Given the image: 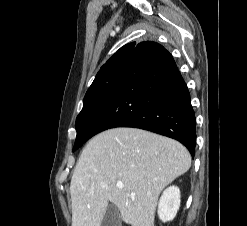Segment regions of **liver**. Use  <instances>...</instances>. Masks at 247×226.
I'll list each match as a JSON object with an SVG mask.
<instances>
[{
    "label": "liver",
    "mask_w": 247,
    "mask_h": 226,
    "mask_svg": "<svg viewBox=\"0 0 247 226\" xmlns=\"http://www.w3.org/2000/svg\"><path fill=\"white\" fill-rule=\"evenodd\" d=\"M190 166L188 150L161 135L125 127L96 135L71 179L72 226H101L109 201L125 223L154 226L160 193Z\"/></svg>",
    "instance_id": "6515ba94"
}]
</instances>
